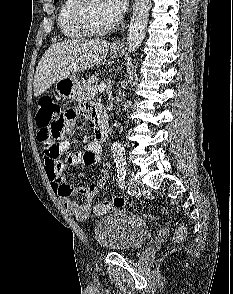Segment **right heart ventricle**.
<instances>
[{"mask_svg":"<svg viewBox=\"0 0 233 294\" xmlns=\"http://www.w3.org/2000/svg\"><path fill=\"white\" fill-rule=\"evenodd\" d=\"M77 0H62L57 16V25L61 34L72 40L84 38L86 35L76 26L73 19L74 7Z\"/></svg>","mask_w":233,"mask_h":294,"instance_id":"right-heart-ventricle-1","label":"right heart ventricle"}]
</instances>
